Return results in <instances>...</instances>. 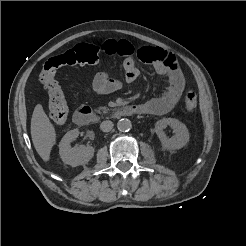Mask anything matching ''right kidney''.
Segmentation results:
<instances>
[{
  "instance_id": "obj_1",
  "label": "right kidney",
  "mask_w": 246,
  "mask_h": 246,
  "mask_svg": "<svg viewBox=\"0 0 246 246\" xmlns=\"http://www.w3.org/2000/svg\"><path fill=\"white\" fill-rule=\"evenodd\" d=\"M79 136V130L67 132L59 144V153L62 161L72 167L89 162L94 156L95 149L92 146L71 147V142Z\"/></svg>"
}]
</instances>
